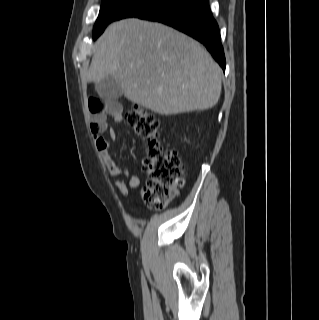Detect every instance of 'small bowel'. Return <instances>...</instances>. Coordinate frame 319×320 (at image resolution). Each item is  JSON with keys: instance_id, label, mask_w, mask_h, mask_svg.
Returning <instances> with one entry per match:
<instances>
[{"instance_id": "small-bowel-1", "label": "small bowel", "mask_w": 319, "mask_h": 320, "mask_svg": "<svg viewBox=\"0 0 319 320\" xmlns=\"http://www.w3.org/2000/svg\"><path fill=\"white\" fill-rule=\"evenodd\" d=\"M88 107L92 115L90 128L95 147L109 173L120 179L115 182L116 188L122 194L127 192V187L137 188L140 185V177L121 168L110 155V148L116 139V132L108 126L107 118L111 117L115 123H120L122 121L121 106L115 102H106L103 105L100 100L90 98ZM124 180L127 181V185Z\"/></svg>"}]
</instances>
